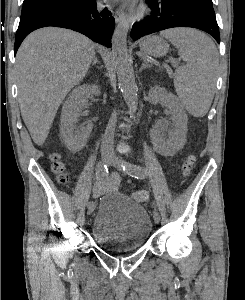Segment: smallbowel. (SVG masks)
Wrapping results in <instances>:
<instances>
[{"label":"small bowel","instance_id":"1","mask_svg":"<svg viewBox=\"0 0 245 300\" xmlns=\"http://www.w3.org/2000/svg\"><path fill=\"white\" fill-rule=\"evenodd\" d=\"M119 182L120 177L116 173H114L107 179L96 181L92 186L93 196L96 197L103 194H107L109 192H114L117 189Z\"/></svg>","mask_w":245,"mask_h":300}]
</instances>
